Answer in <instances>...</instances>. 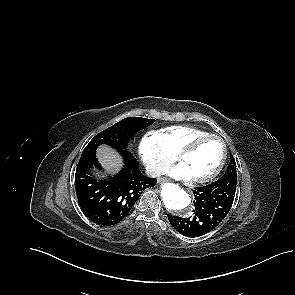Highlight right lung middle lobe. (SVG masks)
Here are the masks:
<instances>
[{
  "instance_id": "obj_1",
  "label": "right lung middle lobe",
  "mask_w": 295,
  "mask_h": 295,
  "mask_svg": "<svg viewBox=\"0 0 295 295\" xmlns=\"http://www.w3.org/2000/svg\"><path fill=\"white\" fill-rule=\"evenodd\" d=\"M153 122L154 119L140 117L125 118L97 134L85 147L81 158L95 154V150L100 144H108L118 151L126 149L129 140L132 139L138 131L150 126Z\"/></svg>"
}]
</instances>
